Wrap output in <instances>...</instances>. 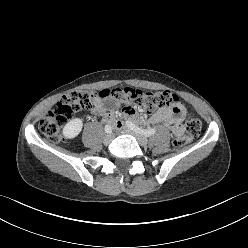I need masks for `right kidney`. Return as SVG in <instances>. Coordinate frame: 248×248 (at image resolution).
Returning a JSON list of instances; mask_svg holds the SVG:
<instances>
[{
    "label": "right kidney",
    "instance_id": "1",
    "mask_svg": "<svg viewBox=\"0 0 248 248\" xmlns=\"http://www.w3.org/2000/svg\"><path fill=\"white\" fill-rule=\"evenodd\" d=\"M83 127V121L81 118H74L70 120L63 128V136L66 139L76 138Z\"/></svg>",
    "mask_w": 248,
    "mask_h": 248
}]
</instances>
